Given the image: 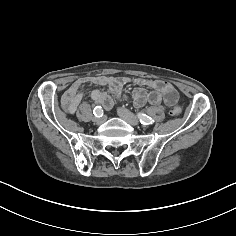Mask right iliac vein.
I'll use <instances>...</instances> for the list:
<instances>
[{
    "instance_id": "right-iliac-vein-1",
    "label": "right iliac vein",
    "mask_w": 236,
    "mask_h": 236,
    "mask_svg": "<svg viewBox=\"0 0 236 236\" xmlns=\"http://www.w3.org/2000/svg\"><path fill=\"white\" fill-rule=\"evenodd\" d=\"M106 121V116H102L98 119H94V122L97 124V125H100L102 123H104Z\"/></svg>"
}]
</instances>
